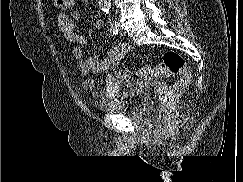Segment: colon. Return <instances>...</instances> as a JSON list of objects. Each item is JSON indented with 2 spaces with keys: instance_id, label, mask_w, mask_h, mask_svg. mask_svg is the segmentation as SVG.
Segmentation results:
<instances>
[{
  "instance_id": "colon-1",
  "label": "colon",
  "mask_w": 243,
  "mask_h": 182,
  "mask_svg": "<svg viewBox=\"0 0 243 182\" xmlns=\"http://www.w3.org/2000/svg\"><path fill=\"white\" fill-rule=\"evenodd\" d=\"M53 2L59 9H69L73 5V0H53ZM138 75L143 80L179 76V79L174 84L166 91L160 93V114H164L167 111L172 101L182 94L190 82V72L186 67L185 60L175 51L165 52L162 62L157 65L140 68Z\"/></svg>"
}]
</instances>
